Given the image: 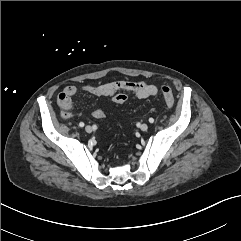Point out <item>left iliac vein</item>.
Masks as SVG:
<instances>
[{
  "label": "left iliac vein",
  "instance_id": "4c4485c4",
  "mask_svg": "<svg viewBox=\"0 0 241 241\" xmlns=\"http://www.w3.org/2000/svg\"><path fill=\"white\" fill-rule=\"evenodd\" d=\"M140 129H141V131H147L148 130V125L143 123V124L140 125Z\"/></svg>",
  "mask_w": 241,
  "mask_h": 241
}]
</instances>
